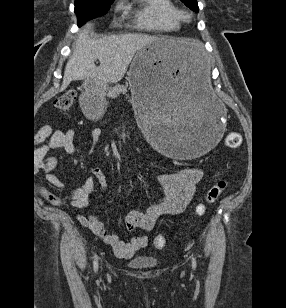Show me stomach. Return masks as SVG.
<instances>
[{
  "mask_svg": "<svg viewBox=\"0 0 286 308\" xmlns=\"http://www.w3.org/2000/svg\"><path fill=\"white\" fill-rule=\"evenodd\" d=\"M211 70L205 44L182 36H163L137 51L128 73L137 125H146V142L162 159H199L214 144H224L223 100L209 86ZM107 91V85L87 79L83 110L101 116Z\"/></svg>",
  "mask_w": 286,
  "mask_h": 308,
  "instance_id": "0dacf381",
  "label": "stomach"
}]
</instances>
